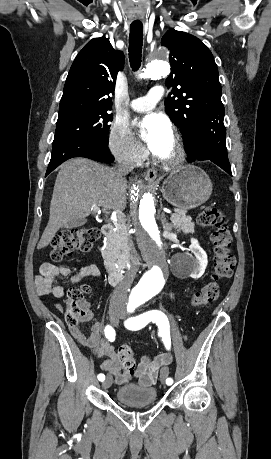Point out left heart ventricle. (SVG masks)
I'll list each match as a JSON object with an SVG mask.
<instances>
[{"label": "left heart ventricle", "instance_id": "b2bd125f", "mask_svg": "<svg viewBox=\"0 0 271 459\" xmlns=\"http://www.w3.org/2000/svg\"><path fill=\"white\" fill-rule=\"evenodd\" d=\"M172 150H173V141H172V137L170 136L169 138H167L160 144L158 150L155 153L161 156H166L170 154Z\"/></svg>", "mask_w": 271, "mask_h": 459}]
</instances>
